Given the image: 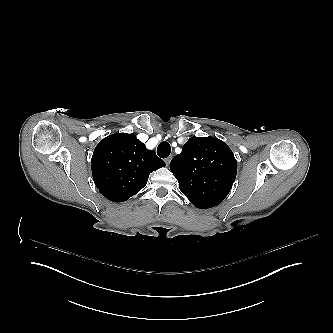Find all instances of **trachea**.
Returning <instances> with one entry per match:
<instances>
[{"label":"trachea","instance_id":"obj_1","mask_svg":"<svg viewBox=\"0 0 333 333\" xmlns=\"http://www.w3.org/2000/svg\"><path fill=\"white\" fill-rule=\"evenodd\" d=\"M171 153V147L168 142L163 141L157 148V154L161 158H167Z\"/></svg>","mask_w":333,"mask_h":333}]
</instances>
